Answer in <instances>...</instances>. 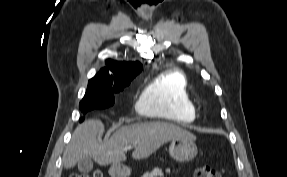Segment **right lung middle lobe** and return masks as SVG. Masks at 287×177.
Returning a JSON list of instances; mask_svg holds the SVG:
<instances>
[{"instance_id": "obj_1", "label": "right lung middle lobe", "mask_w": 287, "mask_h": 177, "mask_svg": "<svg viewBox=\"0 0 287 177\" xmlns=\"http://www.w3.org/2000/svg\"><path fill=\"white\" fill-rule=\"evenodd\" d=\"M129 84L130 82L115 86H103L89 81L86 94L79 105L80 110L85 114L93 109L112 106L114 104L113 93L122 91Z\"/></svg>"}]
</instances>
